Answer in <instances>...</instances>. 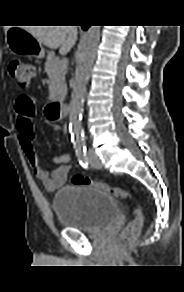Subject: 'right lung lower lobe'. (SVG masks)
Listing matches in <instances>:
<instances>
[{
    "label": "right lung lower lobe",
    "mask_w": 184,
    "mask_h": 292,
    "mask_svg": "<svg viewBox=\"0 0 184 292\" xmlns=\"http://www.w3.org/2000/svg\"><path fill=\"white\" fill-rule=\"evenodd\" d=\"M89 26L87 25H82L83 30H87Z\"/></svg>",
    "instance_id": "1"
}]
</instances>
